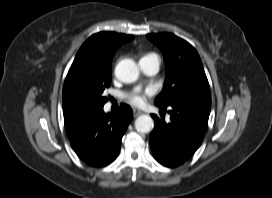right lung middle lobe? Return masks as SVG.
<instances>
[{
    "label": "right lung middle lobe",
    "mask_w": 272,
    "mask_h": 198,
    "mask_svg": "<svg viewBox=\"0 0 272 198\" xmlns=\"http://www.w3.org/2000/svg\"><path fill=\"white\" fill-rule=\"evenodd\" d=\"M111 84V74H105L98 77L92 83H90L85 91L86 103L88 109L103 107L107 98L103 95V92Z\"/></svg>",
    "instance_id": "1"
}]
</instances>
